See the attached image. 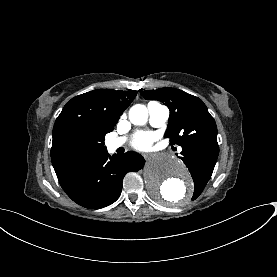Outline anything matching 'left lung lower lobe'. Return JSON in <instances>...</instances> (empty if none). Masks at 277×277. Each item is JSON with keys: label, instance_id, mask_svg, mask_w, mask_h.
Returning a JSON list of instances; mask_svg holds the SVG:
<instances>
[{"label": "left lung lower lobe", "instance_id": "0a47b994", "mask_svg": "<svg viewBox=\"0 0 277 277\" xmlns=\"http://www.w3.org/2000/svg\"><path fill=\"white\" fill-rule=\"evenodd\" d=\"M182 157L193 178L201 174H211L216 164L219 146L217 141L206 140L182 147Z\"/></svg>", "mask_w": 277, "mask_h": 277}]
</instances>
